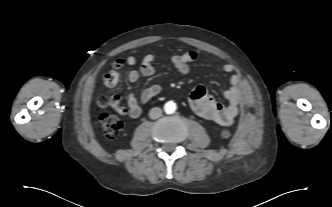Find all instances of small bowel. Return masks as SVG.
<instances>
[{
    "mask_svg": "<svg viewBox=\"0 0 332 207\" xmlns=\"http://www.w3.org/2000/svg\"><path fill=\"white\" fill-rule=\"evenodd\" d=\"M197 59V52L186 51L180 55L172 56L170 60L180 74L187 75L190 72V65ZM117 60H120L122 62L121 67L124 64L133 65L135 63V59L133 57H129L126 60ZM155 60L156 55L154 54H147L146 56H144L139 71L131 70L127 74L128 81L134 83L139 79L140 75H154L155 67L153 65V62ZM113 68L114 69H112L110 72L106 73L103 76V83L108 88H114L119 81L120 75L117 70L120 68H115L114 66ZM222 70L224 73L230 75V87L225 91V97L228 100L227 105H222L216 102L204 86H197L191 90L189 94V102L195 113L202 118L222 126H229L233 124L239 112V105L242 101L240 90V76L236 73L234 66L230 63L223 64ZM161 89L162 88L160 85H152L145 88L140 95V101L142 103L149 102L161 92ZM121 108L124 109V113L122 114H127L132 118H137L142 113L141 105L132 91H129L127 94L126 108Z\"/></svg>",
    "mask_w": 332,
    "mask_h": 207,
    "instance_id": "c3829d8e",
    "label": "small bowel"
}]
</instances>
